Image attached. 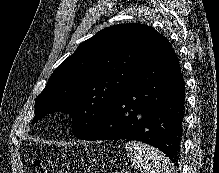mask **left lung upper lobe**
<instances>
[{"instance_id":"left-lung-upper-lobe-1","label":"left lung upper lobe","mask_w":219,"mask_h":173,"mask_svg":"<svg viewBox=\"0 0 219 173\" xmlns=\"http://www.w3.org/2000/svg\"><path fill=\"white\" fill-rule=\"evenodd\" d=\"M165 40L153 27L141 24L101 30L53 72L35 100L32 123L61 111L72 116L75 137L86 135L134 86L139 67Z\"/></svg>"}]
</instances>
